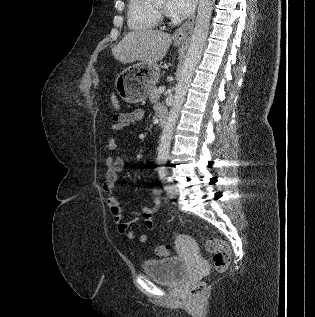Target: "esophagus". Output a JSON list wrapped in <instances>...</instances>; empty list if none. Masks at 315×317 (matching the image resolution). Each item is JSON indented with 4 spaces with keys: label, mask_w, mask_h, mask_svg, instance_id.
Returning <instances> with one entry per match:
<instances>
[{
    "label": "esophagus",
    "mask_w": 315,
    "mask_h": 317,
    "mask_svg": "<svg viewBox=\"0 0 315 317\" xmlns=\"http://www.w3.org/2000/svg\"><path fill=\"white\" fill-rule=\"evenodd\" d=\"M195 16L190 17L181 27H179L174 33V39L181 45L183 49H186L190 42V36L194 27Z\"/></svg>",
    "instance_id": "1"
}]
</instances>
